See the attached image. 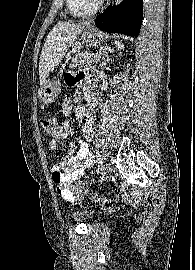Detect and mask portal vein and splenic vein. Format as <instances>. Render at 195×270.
<instances>
[{"label":"portal vein and splenic vein","instance_id":"portal-vein-and-splenic-vein-1","mask_svg":"<svg viewBox=\"0 0 195 270\" xmlns=\"http://www.w3.org/2000/svg\"><path fill=\"white\" fill-rule=\"evenodd\" d=\"M92 56H99V57H105L106 55H107V53H105V52H100V53H93V54H91Z\"/></svg>","mask_w":195,"mask_h":270}]
</instances>
